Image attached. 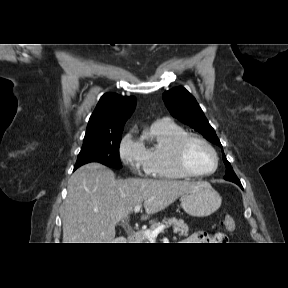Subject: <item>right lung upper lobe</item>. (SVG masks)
Instances as JSON below:
<instances>
[{
	"label": "right lung upper lobe",
	"instance_id": "1",
	"mask_svg": "<svg viewBox=\"0 0 288 288\" xmlns=\"http://www.w3.org/2000/svg\"><path fill=\"white\" fill-rule=\"evenodd\" d=\"M136 98L118 94H104L91 115L84 140L96 139L107 134L121 132L134 111Z\"/></svg>",
	"mask_w": 288,
	"mask_h": 288
}]
</instances>
